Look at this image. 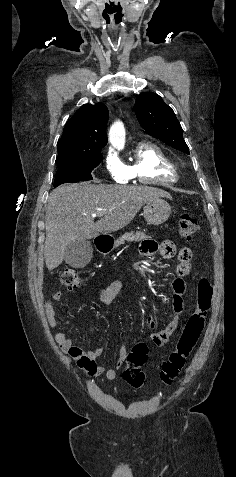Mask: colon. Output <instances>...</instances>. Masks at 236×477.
I'll list each match as a JSON object with an SVG mask.
<instances>
[{
	"label": "colon",
	"mask_w": 236,
	"mask_h": 477,
	"mask_svg": "<svg viewBox=\"0 0 236 477\" xmlns=\"http://www.w3.org/2000/svg\"><path fill=\"white\" fill-rule=\"evenodd\" d=\"M199 229L198 220L189 213H183L179 217L178 232L181 237L189 239ZM63 286L74 289L82 285V279L74 268H65L60 276ZM212 285L208 278L202 277L197 287V304L193 313L188 318L181 330L175 349L163 362L160 373L161 381L170 385L182 371L187 359L196 346L204 329L205 319L211 305ZM148 359V347L144 343L133 346L127 357V368L123 373L125 381L136 388H140L145 382V373L142 366Z\"/></svg>",
	"instance_id": "1"
}]
</instances>
